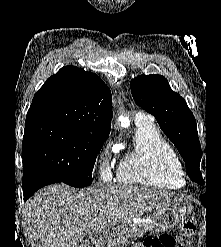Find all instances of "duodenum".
Here are the masks:
<instances>
[{
  "mask_svg": "<svg viewBox=\"0 0 221 247\" xmlns=\"http://www.w3.org/2000/svg\"><path fill=\"white\" fill-rule=\"evenodd\" d=\"M89 239L95 245H101V233L99 231H92L89 234Z\"/></svg>",
  "mask_w": 221,
  "mask_h": 247,
  "instance_id": "410a0bca",
  "label": "duodenum"
}]
</instances>
